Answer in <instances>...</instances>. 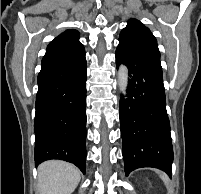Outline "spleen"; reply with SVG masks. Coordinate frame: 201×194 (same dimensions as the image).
<instances>
[{"instance_id":"obj_1","label":"spleen","mask_w":201,"mask_h":194,"mask_svg":"<svg viewBox=\"0 0 201 194\" xmlns=\"http://www.w3.org/2000/svg\"><path fill=\"white\" fill-rule=\"evenodd\" d=\"M159 176L163 180V182L165 183V185H168V178H167V176L164 173H160Z\"/></svg>"}]
</instances>
